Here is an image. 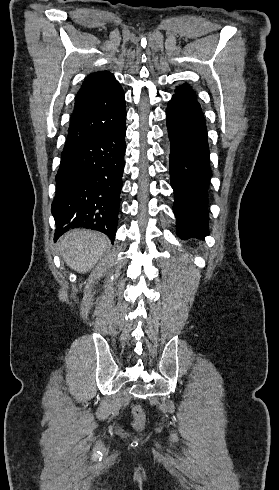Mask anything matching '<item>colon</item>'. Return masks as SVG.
Masks as SVG:
<instances>
[{
  "mask_svg": "<svg viewBox=\"0 0 279 490\" xmlns=\"http://www.w3.org/2000/svg\"><path fill=\"white\" fill-rule=\"evenodd\" d=\"M132 415L138 422H141L146 418L144 410L140 407H135L132 411Z\"/></svg>",
  "mask_w": 279,
  "mask_h": 490,
  "instance_id": "5ec220e1",
  "label": "colon"
}]
</instances>
